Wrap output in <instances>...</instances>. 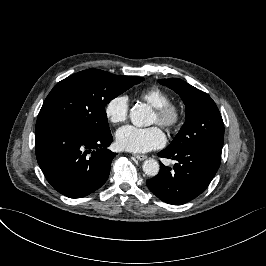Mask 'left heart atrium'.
<instances>
[{
    "instance_id": "left-heart-atrium-1",
    "label": "left heart atrium",
    "mask_w": 266,
    "mask_h": 266,
    "mask_svg": "<svg viewBox=\"0 0 266 266\" xmlns=\"http://www.w3.org/2000/svg\"><path fill=\"white\" fill-rule=\"evenodd\" d=\"M118 145L131 152H146L159 148L166 142L163 130L158 125L137 127L126 125L116 132Z\"/></svg>"
}]
</instances>
